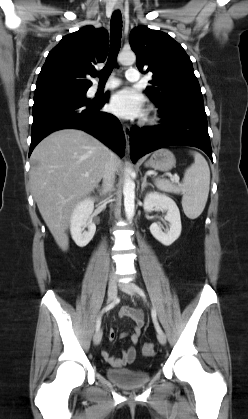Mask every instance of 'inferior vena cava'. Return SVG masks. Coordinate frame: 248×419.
Segmentation results:
<instances>
[{
  "label": "inferior vena cava",
  "mask_w": 248,
  "mask_h": 419,
  "mask_svg": "<svg viewBox=\"0 0 248 419\" xmlns=\"http://www.w3.org/2000/svg\"><path fill=\"white\" fill-rule=\"evenodd\" d=\"M114 157L115 154L113 152L110 153V159L105 165L104 173H103V189L105 191L104 194L111 192L115 182V172L116 166L114 164Z\"/></svg>",
  "instance_id": "602c4592"
}]
</instances>
